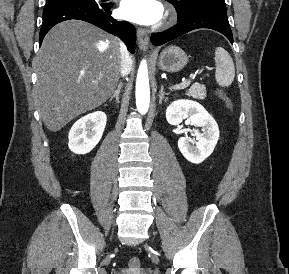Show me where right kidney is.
I'll use <instances>...</instances> for the list:
<instances>
[{
	"label": "right kidney",
	"instance_id": "right-kidney-1",
	"mask_svg": "<svg viewBox=\"0 0 289 274\" xmlns=\"http://www.w3.org/2000/svg\"><path fill=\"white\" fill-rule=\"evenodd\" d=\"M107 117L102 111L89 113L77 120L69 131V149L75 154H87L102 138Z\"/></svg>",
	"mask_w": 289,
	"mask_h": 274
}]
</instances>
